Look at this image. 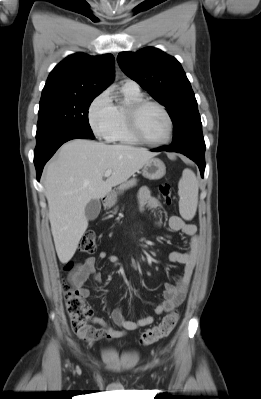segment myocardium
Instances as JSON below:
<instances>
[{"instance_id": "f54148a6", "label": "myocardium", "mask_w": 261, "mask_h": 399, "mask_svg": "<svg viewBox=\"0 0 261 399\" xmlns=\"http://www.w3.org/2000/svg\"><path fill=\"white\" fill-rule=\"evenodd\" d=\"M147 106H155L159 108L162 113L165 115L168 122V135L165 139L161 141H153L145 137L142 133L140 125H139V114L140 112ZM125 118L128 131L130 135L137 140L138 142L150 146H162L168 144L174 135V121L169 111L166 109L164 105L161 103L149 100V99H140L128 104L125 111Z\"/></svg>"}]
</instances>
